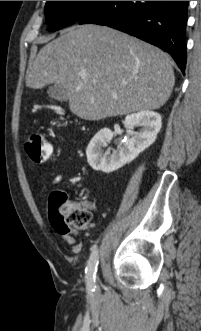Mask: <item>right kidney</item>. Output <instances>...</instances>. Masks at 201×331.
<instances>
[{"label": "right kidney", "instance_id": "right-kidney-1", "mask_svg": "<svg viewBox=\"0 0 201 331\" xmlns=\"http://www.w3.org/2000/svg\"><path fill=\"white\" fill-rule=\"evenodd\" d=\"M124 126L128 129L139 126L140 130L135 132L130 139L123 143V146H119L116 150L111 148H108L105 152L102 150L113 138V133L108 128L101 129L91 139L86 149V155L89 165L94 170L111 173L133 161L155 142L162 126V120L156 112L140 111L126 116Z\"/></svg>", "mask_w": 201, "mask_h": 331}]
</instances>
